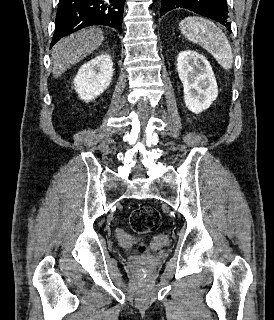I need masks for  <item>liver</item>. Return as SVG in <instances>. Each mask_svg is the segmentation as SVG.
Masks as SVG:
<instances>
[{"label": "liver", "instance_id": "6515ba94", "mask_svg": "<svg viewBox=\"0 0 274 320\" xmlns=\"http://www.w3.org/2000/svg\"><path fill=\"white\" fill-rule=\"evenodd\" d=\"M104 40L101 28H85L67 38L59 40L52 48V66L54 78L62 76L68 68L98 50Z\"/></svg>", "mask_w": 274, "mask_h": 320}]
</instances>
